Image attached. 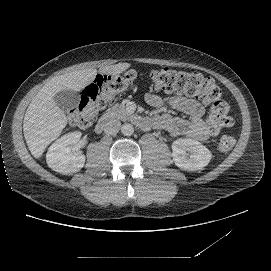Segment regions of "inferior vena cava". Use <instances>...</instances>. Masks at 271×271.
<instances>
[{
    "mask_svg": "<svg viewBox=\"0 0 271 271\" xmlns=\"http://www.w3.org/2000/svg\"><path fill=\"white\" fill-rule=\"evenodd\" d=\"M121 123L119 120L114 118H109L103 124V130L107 135H116L120 129Z\"/></svg>",
    "mask_w": 271,
    "mask_h": 271,
    "instance_id": "obj_1",
    "label": "inferior vena cava"
}]
</instances>
